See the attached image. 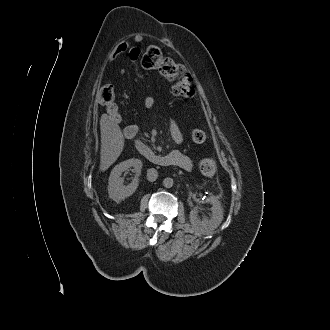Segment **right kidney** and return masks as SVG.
I'll return each mask as SVG.
<instances>
[{
  "label": "right kidney",
  "mask_w": 330,
  "mask_h": 330,
  "mask_svg": "<svg viewBox=\"0 0 330 330\" xmlns=\"http://www.w3.org/2000/svg\"><path fill=\"white\" fill-rule=\"evenodd\" d=\"M130 167H133L134 172L136 173L135 178L129 185H124V178L121 177L122 172L128 170ZM142 169V161L139 159H128L117 164L111 171L109 180H108V194L109 197L115 202H120L125 198L131 196L136 189L138 188L139 175Z\"/></svg>",
  "instance_id": "ca27d5eb"
}]
</instances>
